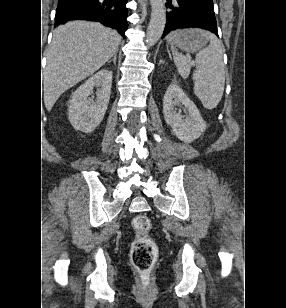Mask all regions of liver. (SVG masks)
<instances>
[{"label": "liver", "mask_w": 286, "mask_h": 308, "mask_svg": "<svg viewBox=\"0 0 286 308\" xmlns=\"http://www.w3.org/2000/svg\"><path fill=\"white\" fill-rule=\"evenodd\" d=\"M121 36L100 23L71 21L53 31L44 72V105L52 109L69 88L100 69L118 51Z\"/></svg>", "instance_id": "1"}]
</instances>
